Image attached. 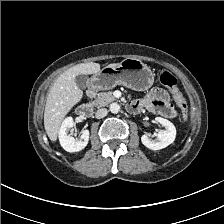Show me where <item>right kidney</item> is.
Wrapping results in <instances>:
<instances>
[{
  "mask_svg": "<svg viewBox=\"0 0 224 224\" xmlns=\"http://www.w3.org/2000/svg\"><path fill=\"white\" fill-rule=\"evenodd\" d=\"M74 120L72 117H67L62 122L59 130V141L63 149L67 152H78L84 149L89 141V131L83 130L80 140L76 141L69 133V130L73 128Z\"/></svg>",
  "mask_w": 224,
  "mask_h": 224,
  "instance_id": "ca27d5eb",
  "label": "right kidney"
}]
</instances>
